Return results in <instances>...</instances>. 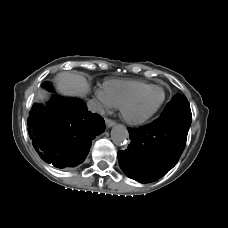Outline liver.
I'll use <instances>...</instances> for the list:
<instances>
[{
    "instance_id": "6515ba94",
    "label": "liver",
    "mask_w": 228,
    "mask_h": 228,
    "mask_svg": "<svg viewBox=\"0 0 228 228\" xmlns=\"http://www.w3.org/2000/svg\"><path fill=\"white\" fill-rule=\"evenodd\" d=\"M57 88L60 93L67 96H84L89 91V84L82 75L72 72H61L56 77ZM45 95L39 94V98Z\"/></svg>"
}]
</instances>
